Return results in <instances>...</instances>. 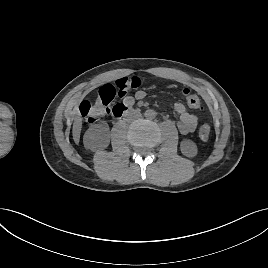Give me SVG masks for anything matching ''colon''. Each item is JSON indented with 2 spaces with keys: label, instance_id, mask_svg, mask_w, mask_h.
I'll use <instances>...</instances> for the list:
<instances>
[{
  "label": "colon",
  "instance_id": "1",
  "mask_svg": "<svg viewBox=\"0 0 268 268\" xmlns=\"http://www.w3.org/2000/svg\"><path fill=\"white\" fill-rule=\"evenodd\" d=\"M141 83L142 80L139 77L131 76L118 79L114 83L104 84L91 100L82 102L80 106L81 115L89 123L96 122L102 116L111 112L113 108L111 104L117 97L125 96L129 91L138 88ZM183 96L190 108L197 110L203 109L201 100L197 95L191 93L190 89L185 88L183 90ZM210 134V126L203 124L198 132L200 140L207 141L210 138Z\"/></svg>",
  "mask_w": 268,
  "mask_h": 268
}]
</instances>
